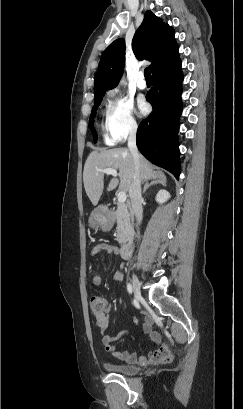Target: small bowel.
Returning <instances> with one entry per match:
<instances>
[{
  "mask_svg": "<svg viewBox=\"0 0 243 409\" xmlns=\"http://www.w3.org/2000/svg\"><path fill=\"white\" fill-rule=\"evenodd\" d=\"M115 254L119 253V250L116 246L111 244H104L100 243L93 247L90 253V259H94L96 256L100 254ZM124 267V264H121ZM114 279L116 281H122L123 275L121 272H115ZM103 277L101 274H95L92 277V282L95 285L101 284ZM104 302V307L101 311L94 313V319L96 322L97 327L102 332V342L105 347V350L109 352L113 357L123 360L126 363H161L167 364L172 361L174 357V350L167 342H162L158 333L153 330V318L150 314L147 313L145 321L143 323V331L149 334L156 345V348L149 351L146 355L137 356L136 353H132L125 350H117L114 346V342L118 339L125 336V332H120L117 335H110L106 333L108 328V316H107V308L109 303L106 299L102 298Z\"/></svg>",
  "mask_w": 243,
  "mask_h": 409,
  "instance_id": "small-bowel-1",
  "label": "small bowel"
}]
</instances>
